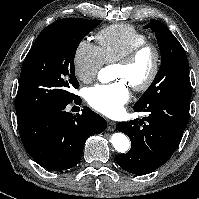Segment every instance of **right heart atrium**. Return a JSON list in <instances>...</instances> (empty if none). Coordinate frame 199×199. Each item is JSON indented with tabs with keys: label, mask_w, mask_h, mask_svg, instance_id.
<instances>
[{
	"label": "right heart atrium",
	"mask_w": 199,
	"mask_h": 199,
	"mask_svg": "<svg viewBox=\"0 0 199 199\" xmlns=\"http://www.w3.org/2000/svg\"><path fill=\"white\" fill-rule=\"evenodd\" d=\"M103 64L104 61L98 46L87 40L78 43L73 56V68L80 81L84 83L92 81L98 75Z\"/></svg>",
	"instance_id": "d8ad5b80"
}]
</instances>
